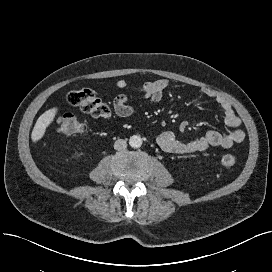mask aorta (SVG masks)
I'll use <instances>...</instances> for the list:
<instances>
[{
    "mask_svg": "<svg viewBox=\"0 0 272 272\" xmlns=\"http://www.w3.org/2000/svg\"><path fill=\"white\" fill-rule=\"evenodd\" d=\"M129 145L132 148H139L142 145V138L138 135H133L129 139Z\"/></svg>",
    "mask_w": 272,
    "mask_h": 272,
    "instance_id": "762f6f07",
    "label": "aorta"
}]
</instances>
